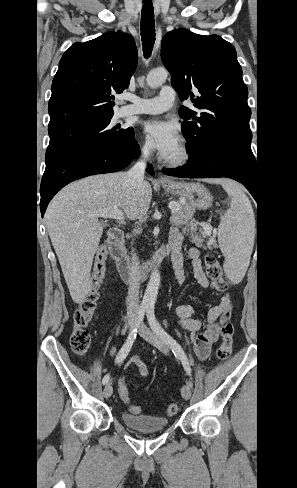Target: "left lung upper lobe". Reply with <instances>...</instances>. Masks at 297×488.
Here are the masks:
<instances>
[{
	"mask_svg": "<svg viewBox=\"0 0 297 488\" xmlns=\"http://www.w3.org/2000/svg\"><path fill=\"white\" fill-rule=\"evenodd\" d=\"M161 58L180 98L193 103L179 109L191 159L214 150L253 159L248 88L235 48L218 35L180 28L163 37Z\"/></svg>",
	"mask_w": 297,
	"mask_h": 488,
	"instance_id": "1",
	"label": "left lung upper lobe"
}]
</instances>
